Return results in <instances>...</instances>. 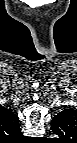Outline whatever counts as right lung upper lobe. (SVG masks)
I'll return each instance as SVG.
<instances>
[{
  "label": "right lung upper lobe",
  "instance_id": "obj_1",
  "mask_svg": "<svg viewBox=\"0 0 77 143\" xmlns=\"http://www.w3.org/2000/svg\"><path fill=\"white\" fill-rule=\"evenodd\" d=\"M0 130L3 134L17 136L21 134L19 119L7 108H0Z\"/></svg>",
  "mask_w": 77,
  "mask_h": 143
}]
</instances>
